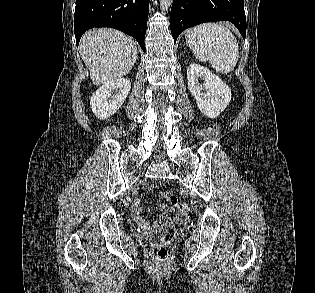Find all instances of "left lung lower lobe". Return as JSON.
I'll return each instance as SVG.
<instances>
[{
    "label": "left lung lower lobe",
    "mask_w": 315,
    "mask_h": 293,
    "mask_svg": "<svg viewBox=\"0 0 315 293\" xmlns=\"http://www.w3.org/2000/svg\"><path fill=\"white\" fill-rule=\"evenodd\" d=\"M230 21L246 36L243 0H173L170 27L174 41L186 28L204 22Z\"/></svg>",
    "instance_id": "left-lung-lower-lobe-1"
}]
</instances>
